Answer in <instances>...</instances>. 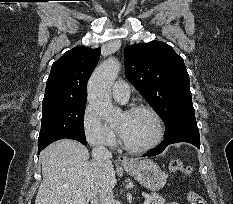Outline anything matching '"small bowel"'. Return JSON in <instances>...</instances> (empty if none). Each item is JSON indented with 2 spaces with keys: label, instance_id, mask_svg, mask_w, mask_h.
<instances>
[{
  "label": "small bowel",
  "instance_id": "c3829d8e",
  "mask_svg": "<svg viewBox=\"0 0 233 204\" xmlns=\"http://www.w3.org/2000/svg\"><path fill=\"white\" fill-rule=\"evenodd\" d=\"M168 204H179V203H176V202H171V203H168Z\"/></svg>",
  "mask_w": 233,
  "mask_h": 204
}]
</instances>
